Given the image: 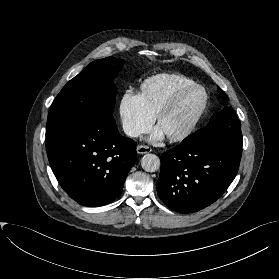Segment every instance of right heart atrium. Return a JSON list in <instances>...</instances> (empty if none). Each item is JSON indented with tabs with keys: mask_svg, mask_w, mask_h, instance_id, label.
I'll use <instances>...</instances> for the list:
<instances>
[{
	"mask_svg": "<svg viewBox=\"0 0 279 279\" xmlns=\"http://www.w3.org/2000/svg\"><path fill=\"white\" fill-rule=\"evenodd\" d=\"M118 116L124 133L130 138L145 133L154 122V116L145 107L140 94L130 90L120 97Z\"/></svg>",
	"mask_w": 279,
	"mask_h": 279,
	"instance_id": "1",
	"label": "right heart atrium"
}]
</instances>
